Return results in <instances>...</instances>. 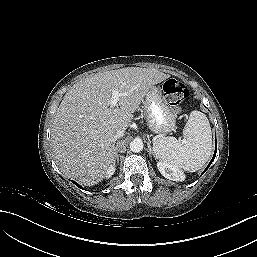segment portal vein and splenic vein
<instances>
[{
    "label": "portal vein and splenic vein",
    "mask_w": 257,
    "mask_h": 257,
    "mask_svg": "<svg viewBox=\"0 0 257 257\" xmlns=\"http://www.w3.org/2000/svg\"><path fill=\"white\" fill-rule=\"evenodd\" d=\"M126 95V93H122L119 91H113L112 92V96H111V100H110V105L111 106H117L118 100L120 96Z\"/></svg>",
    "instance_id": "1"
}]
</instances>
